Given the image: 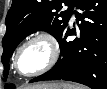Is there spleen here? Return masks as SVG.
I'll list each match as a JSON object with an SVG mask.
<instances>
[{
  "label": "spleen",
  "instance_id": "spleen-1",
  "mask_svg": "<svg viewBox=\"0 0 107 89\" xmlns=\"http://www.w3.org/2000/svg\"><path fill=\"white\" fill-rule=\"evenodd\" d=\"M63 89H84L82 85L63 84Z\"/></svg>",
  "mask_w": 107,
  "mask_h": 89
}]
</instances>
